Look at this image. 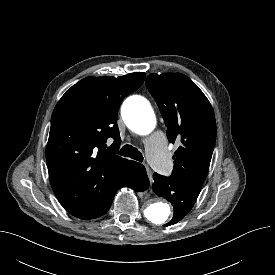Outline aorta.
I'll return each instance as SVG.
<instances>
[{
    "label": "aorta",
    "mask_w": 275,
    "mask_h": 275,
    "mask_svg": "<svg viewBox=\"0 0 275 275\" xmlns=\"http://www.w3.org/2000/svg\"><path fill=\"white\" fill-rule=\"evenodd\" d=\"M121 114L126 125L134 132L145 135L156 126V116L150 102L141 96H132L122 105ZM172 215L168 203L157 201L150 203L144 209V216L155 226H163Z\"/></svg>",
    "instance_id": "1"
}]
</instances>
